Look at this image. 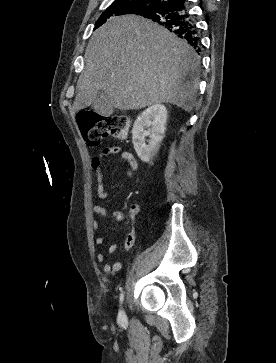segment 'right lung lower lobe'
Wrapping results in <instances>:
<instances>
[{
	"label": "right lung lower lobe",
	"mask_w": 276,
	"mask_h": 363,
	"mask_svg": "<svg viewBox=\"0 0 276 363\" xmlns=\"http://www.w3.org/2000/svg\"><path fill=\"white\" fill-rule=\"evenodd\" d=\"M135 15L162 25L178 37L187 40L197 52L200 51V38L193 17L188 12L186 0H160Z\"/></svg>",
	"instance_id": "obj_1"
}]
</instances>
